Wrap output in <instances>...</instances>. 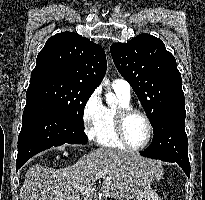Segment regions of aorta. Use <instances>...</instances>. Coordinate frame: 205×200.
I'll return each instance as SVG.
<instances>
[{
  "mask_svg": "<svg viewBox=\"0 0 205 200\" xmlns=\"http://www.w3.org/2000/svg\"><path fill=\"white\" fill-rule=\"evenodd\" d=\"M109 81L107 79L103 80V84L108 86ZM115 96L112 92H109L106 94V101L108 103V105H112L114 102Z\"/></svg>",
  "mask_w": 205,
  "mask_h": 200,
  "instance_id": "1",
  "label": "aorta"
}]
</instances>
